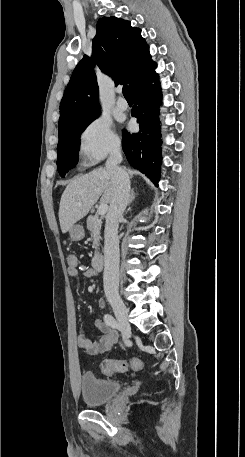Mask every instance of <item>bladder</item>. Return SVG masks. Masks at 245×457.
I'll return each instance as SVG.
<instances>
[{
	"mask_svg": "<svg viewBox=\"0 0 245 457\" xmlns=\"http://www.w3.org/2000/svg\"><path fill=\"white\" fill-rule=\"evenodd\" d=\"M81 391L86 406H98L107 403L111 396L118 395L120 385L119 382L99 380L87 373L81 379Z\"/></svg>",
	"mask_w": 245,
	"mask_h": 457,
	"instance_id": "31cf9c89",
	"label": "bladder"
}]
</instances>
